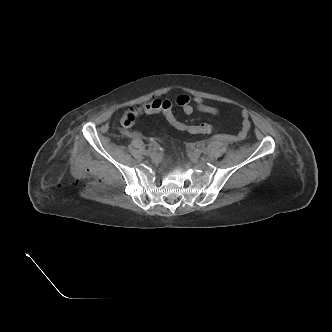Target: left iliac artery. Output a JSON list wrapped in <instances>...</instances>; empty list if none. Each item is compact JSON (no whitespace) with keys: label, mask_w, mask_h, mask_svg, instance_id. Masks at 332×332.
I'll list each match as a JSON object with an SVG mask.
<instances>
[{"label":"left iliac artery","mask_w":332,"mask_h":332,"mask_svg":"<svg viewBox=\"0 0 332 332\" xmlns=\"http://www.w3.org/2000/svg\"><path fill=\"white\" fill-rule=\"evenodd\" d=\"M195 152L199 155L207 153V151L204 148H197Z\"/></svg>","instance_id":"1"}]
</instances>
